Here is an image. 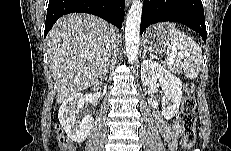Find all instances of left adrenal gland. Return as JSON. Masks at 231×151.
Listing matches in <instances>:
<instances>
[{
	"label": "left adrenal gland",
	"mask_w": 231,
	"mask_h": 151,
	"mask_svg": "<svg viewBox=\"0 0 231 151\" xmlns=\"http://www.w3.org/2000/svg\"><path fill=\"white\" fill-rule=\"evenodd\" d=\"M145 56H146V53L144 52V53H143V57H145Z\"/></svg>",
	"instance_id": "1"
}]
</instances>
